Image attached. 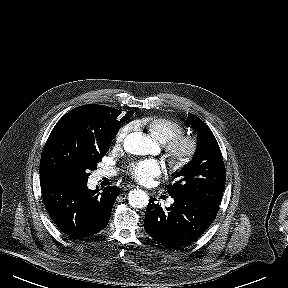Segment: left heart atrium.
I'll return each mask as SVG.
<instances>
[{
    "mask_svg": "<svg viewBox=\"0 0 288 288\" xmlns=\"http://www.w3.org/2000/svg\"><path fill=\"white\" fill-rule=\"evenodd\" d=\"M162 164L155 159H148L132 164L129 168L130 176L142 184H149L161 175Z\"/></svg>",
    "mask_w": 288,
    "mask_h": 288,
    "instance_id": "obj_1",
    "label": "left heart atrium"
}]
</instances>
